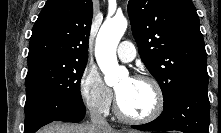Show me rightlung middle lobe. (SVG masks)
<instances>
[{
    "label": "right lung middle lobe",
    "mask_w": 221,
    "mask_h": 133,
    "mask_svg": "<svg viewBox=\"0 0 221 133\" xmlns=\"http://www.w3.org/2000/svg\"><path fill=\"white\" fill-rule=\"evenodd\" d=\"M87 62L48 67L26 77V93L36 91L53 100L82 101L80 81Z\"/></svg>",
    "instance_id": "dd1d6c3e"
}]
</instances>
